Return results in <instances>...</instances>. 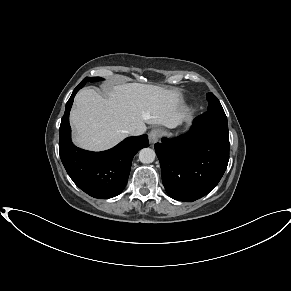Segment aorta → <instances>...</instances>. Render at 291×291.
Returning <instances> with one entry per match:
<instances>
[{
    "instance_id": "obj_1",
    "label": "aorta",
    "mask_w": 291,
    "mask_h": 291,
    "mask_svg": "<svg viewBox=\"0 0 291 291\" xmlns=\"http://www.w3.org/2000/svg\"><path fill=\"white\" fill-rule=\"evenodd\" d=\"M156 153L151 148H143L139 152V160L144 163H152L155 160Z\"/></svg>"
}]
</instances>
